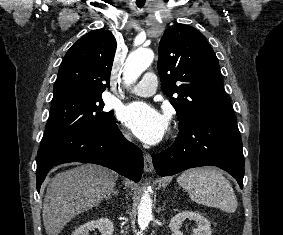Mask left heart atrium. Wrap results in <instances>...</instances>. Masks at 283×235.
Returning <instances> with one entry per match:
<instances>
[{
  "label": "left heart atrium",
  "instance_id": "obj_1",
  "mask_svg": "<svg viewBox=\"0 0 283 235\" xmlns=\"http://www.w3.org/2000/svg\"><path fill=\"white\" fill-rule=\"evenodd\" d=\"M119 116L133 133L147 144L158 143L168 128L167 118L144 102H133L124 106Z\"/></svg>",
  "mask_w": 283,
  "mask_h": 235
}]
</instances>
